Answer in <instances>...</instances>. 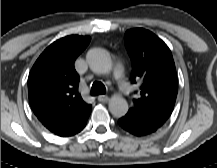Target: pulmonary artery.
<instances>
[{
    "label": "pulmonary artery",
    "mask_w": 217,
    "mask_h": 168,
    "mask_svg": "<svg viewBox=\"0 0 217 168\" xmlns=\"http://www.w3.org/2000/svg\"><path fill=\"white\" fill-rule=\"evenodd\" d=\"M113 76L116 82L120 85L122 92L125 96H128L129 93H132V90L124 81L123 67L121 63H116L114 70H113Z\"/></svg>",
    "instance_id": "1"
}]
</instances>
